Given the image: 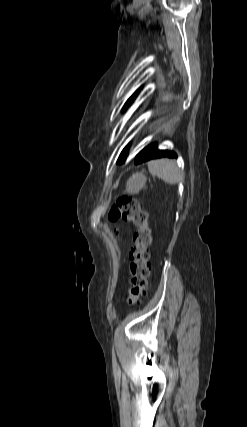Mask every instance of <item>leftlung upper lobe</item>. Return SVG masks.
Instances as JSON below:
<instances>
[{"label": "left lung upper lobe", "mask_w": 247, "mask_h": 427, "mask_svg": "<svg viewBox=\"0 0 247 427\" xmlns=\"http://www.w3.org/2000/svg\"><path fill=\"white\" fill-rule=\"evenodd\" d=\"M136 95H137V92L136 93H134L129 99H128V101L125 103V105H124V107H123V110H125L130 104H132V102H133V100H134V98L136 97ZM128 149H129V145H127L124 149H123V151L121 152V154H120V156H119V159H118V163H123L124 161H125V159H126V156H127V154H128Z\"/></svg>", "instance_id": "left-lung-upper-lobe-1"}]
</instances>
